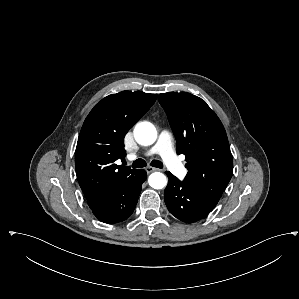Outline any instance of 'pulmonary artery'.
<instances>
[{
  "label": "pulmonary artery",
  "instance_id": "obj_1",
  "mask_svg": "<svg viewBox=\"0 0 299 299\" xmlns=\"http://www.w3.org/2000/svg\"><path fill=\"white\" fill-rule=\"evenodd\" d=\"M156 153H158L161 156L164 164L174 175L181 178L186 176V169L178 159L173 149L172 136L166 130L161 131L155 146L148 150L145 154L147 156H150ZM129 157L136 158V155L131 154Z\"/></svg>",
  "mask_w": 299,
  "mask_h": 299
}]
</instances>
